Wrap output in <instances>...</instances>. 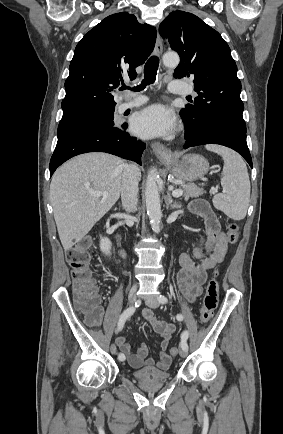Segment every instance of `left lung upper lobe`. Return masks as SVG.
<instances>
[{
	"instance_id": "obj_1",
	"label": "left lung upper lobe",
	"mask_w": 283,
	"mask_h": 434,
	"mask_svg": "<svg viewBox=\"0 0 283 434\" xmlns=\"http://www.w3.org/2000/svg\"><path fill=\"white\" fill-rule=\"evenodd\" d=\"M159 31L180 56L174 77L192 78L198 93L193 104L180 111L185 134L193 136L214 126L246 132L237 66L221 35L199 17L184 11L171 12Z\"/></svg>"
}]
</instances>
